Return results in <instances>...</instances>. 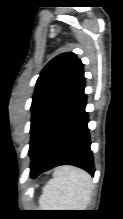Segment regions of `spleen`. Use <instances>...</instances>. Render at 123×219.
<instances>
[{"label": "spleen", "instance_id": "spleen-1", "mask_svg": "<svg viewBox=\"0 0 123 219\" xmlns=\"http://www.w3.org/2000/svg\"><path fill=\"white\" fill-rule=\"evenodd\" d=\"M90 175L72 166L58 167L43 189L42 210H86L91 200Z\"/></svg>", "mask_w": 123, "mask_h": 219}]
</instances>
